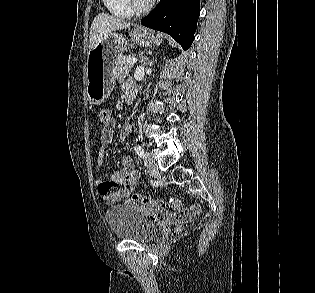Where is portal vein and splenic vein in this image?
<instances>
[{"instance_id":"1","label":"portal vein and splenic vein","mask_w":315,"mask_h":293,"mask_svg":"<svg viewBox=\"0 0 315 293\" xmlns=\"http://www.w3.org/2000/svg\"><path fill=\"white\" fill-rule=\"evenodd\" d=\"M137 62V59L135 57H129V59L127 60V64L131 65Z\"/></svg>"}]
</instances>
